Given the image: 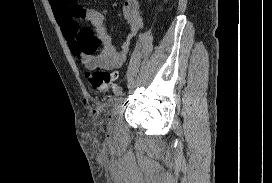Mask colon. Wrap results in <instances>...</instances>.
Instances as JSON below:
<instances>
[{
	"instance_id": "colon-1",
	"label": "colon",
	"mask_w": 272,
	"mask_h": 183,
	"mask_svg": "<svg viewBox=\"0 0 272 183\" xmlns=\"http://www.w3.org/2000/svg\"><path fill=\"white\" fill-rule=\"evenodd\" d=\"M85 77L95 91L106 92L114 87L116 76L97 66L89 65L85 72Z\"/></svg>"
}]
</instances>
